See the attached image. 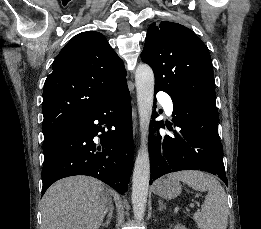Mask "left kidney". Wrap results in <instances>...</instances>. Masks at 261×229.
<instances>
[{
    "instance_id": "left-kidney-1",
    "label": "left kidney",
    "mask_w": 261,
    "mask_h": 229,
    "mask_svg": "<svg viewBox=\"0 0 261 229\" xmlns=\"http://www.w3.org/2000/svg\"><path fill=\"white\" fill-rule=\"evenodd\" d=\"M174 229H186L183 225H175Z\"/></svg>"
}]
</instances>
